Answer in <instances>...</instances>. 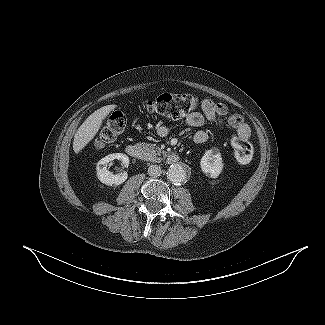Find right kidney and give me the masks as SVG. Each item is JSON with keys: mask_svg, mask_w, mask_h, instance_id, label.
I'll return each instance as SVG.
<instances>
[{"mask_svg": "<svg viewBox=\"0 0 325 325\" xmlns=\"http://www.w3.org/2000/svg\"><path fill=\"white\" fill-rule=\"evenodd\" d=\"M118 159L122 161L123 165L125 167H128L129 165V157L126 154L123 153H113L105 156L101 160L98 161L96 166L97 171V177L103 184L112 186H118L126 181L128 174L127 172H121L118 174H113L112 172L107 170V164L114 160Z\"/></svg>", "mask_w": 325, "mask_h": 325, "instance_id": "obj_1", "label": "right kidney"}]
</instances>
